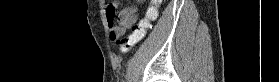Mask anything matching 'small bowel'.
I'll return each instance as SVG.
<instances>
[{
  "label": "small bowel",
  "instance_id": "1",
  "mask_svg": "<svg viewBox=\"0 0 279 82\" xmlns=\"http://www.w3.org/2000/svg\"><path fill=\"white\" fill-rule=\"evenodd\" d=\"M138 2H141L139 0ZM119 3L117 1L109 2L106 5V18L110 27V36L113 41H116L118 37L125 33V31L132 27L138 18L139 8L138 6H127L123 8L117 15L115 10Z\"/></svg>",
  "mask_w": 279,
  "mask_h": 82
}]
</instances>
